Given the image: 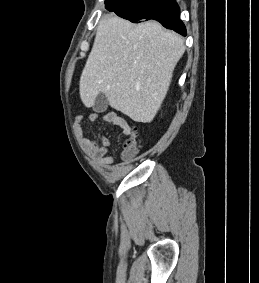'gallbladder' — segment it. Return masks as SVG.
<instances>
[{"label":"gallbladder","mask_w":259,"mask_h":283,"mask_svg":"<svg viewBox=\"0 0 259 283\" xmlns=\"http://www.w3.org/2000/svg\"><path fill=\"white\" fill-rule=\"evenodd\" d=\"M109 102L108 98L104 93H99L98 96L95 99L93 110L95 112L101 113L106 111L108 108Z\"/></svg>","instance_id":"gallbladder-1"}]
</instances>
